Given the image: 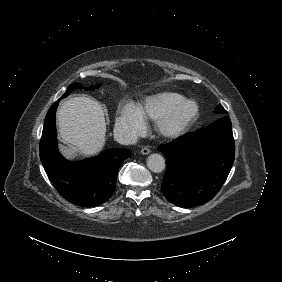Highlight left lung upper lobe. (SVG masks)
Instances as JSON below:
<instances>
[{
    "mask_svg": "<svg viewBox=\"0 0 282 282\" xmlns=\"http://www.w3.org/2000/svg\"><path fill=\"white\" fill-rule=\"evenodd\" d=\"M215 112L216 113H226L227 114V111H225L221 105H219V108H217L215 110Z\"/></svg>",
    "mask_w": 282,
    "mask_h": 282,
    "instance_id": "left-lung-upper-lobe-1",
    "label": "left lung upper lobe"
}]
</instances>
